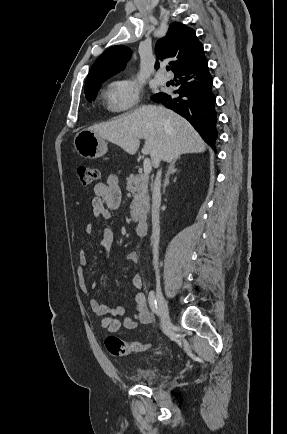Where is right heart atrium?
I'll return each instance as SVG.
<instances>
[{"mask_svg": "<svg viewBox=\"0 0 287 434\" xmlns=\"http://www.w3.org/2000/svg\"><path fill=\"white\" fill-rule=\"evenodd\" d=\"M106 95L111 110L125 112L138 102L140 86L129 79L116 80L109 85Z\"/></svg>", "mask_w": 287, "mask_h": 434, "instance_id": "1", "label": "right heart atrium"}]
</instances>
